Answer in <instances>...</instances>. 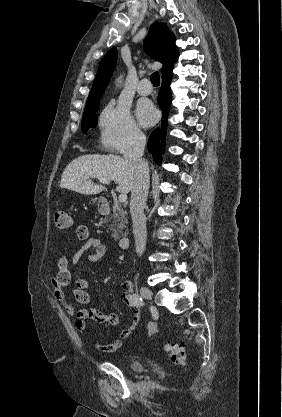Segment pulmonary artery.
Listing matches in <instances>:
<instances>
[{
	"instance_id": "pulmonary-artery-1",
	"label": "pulmonary artery",
	"mask_w": 282,
	"mask_h": 417,
	"mask_svg": "<svg viewBox=\"0 0 282 417\" xmlns=\"http://www.w3.org/2000/svg\"><path fill=\"white\" fill-rule=\"evenodd\" d=\"M149 83L148 79H143L140 81L137 91L140 95L146 96L149 95L152 92V87L146 86V84Z\"/></svg>"
}]
</instances>
